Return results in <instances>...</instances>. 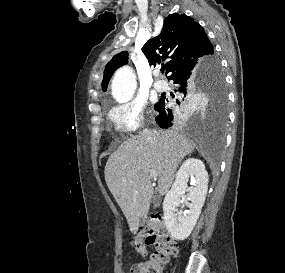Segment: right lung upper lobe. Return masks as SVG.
I'll list each match as a JSON object with an SVG mask.
<instances>
[{
    "label": "right lung upper lobe",
    "mask_w": 285,
    "mask_h": 273,
    "mask_svg": "<svg viewBox=\"0 0 285 273\" xmlns=\"http://www.w3.org/2000/svg\"><path fill=\"white\" fill-rule=\"evenodd\" d=\"M150 65L167 61L168 79L179 70L201 59L213 57L214 49L204 29L191 17L173 13L164 19L163 29L142 48ZM128 53L115 55L104 70L102 89L106 91L114 71L127 63ZM183 106V105H182Z\"/></svg>",
    "instance_id": "right-lung-upper-lobe-1"
}]
</instances>
